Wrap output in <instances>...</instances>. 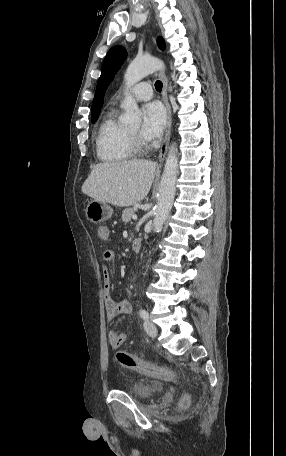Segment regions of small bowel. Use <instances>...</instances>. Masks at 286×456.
<instances>
[{"label": "small bowel", "mask_w": 286, "mask_h": 456, "mask_svg": "<svg viewBox=\"0 0 286 456\" xmlns=\"http://www.w3.org/2000/svg\"><path fill=\"white\" fill-rule=\"evenodd\" d=\"M100 239L107 240L110 237V230L107 226H100L97 230ZM115 259L114 250L108 249L103 253V273H102V289L105 314L108 321L113 320L117 315H127L132 312V304L129 300L114 301L111 295L112 281L107 264ZM126 333L111 330L109 332V342L113 348L120 347L126 340Z\"/></svg>", "instance_id": "c3829d8e"}]
</instances>
